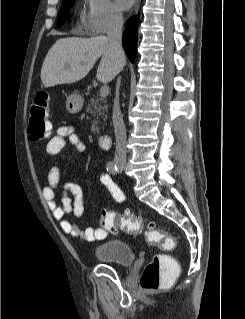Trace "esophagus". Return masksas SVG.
I'll return each instance as SVG.
<instances>
[{
  "label": "esophagus",
  "mask_w": 245,
  "mask_h": 319,
  "mask_svg": "<svg viewBox=\"0 0 245 319\" xmlns=\"http://www.w3.org/2000/svg\"><path fill=\"white\" fill-rule=\"evenodd\" d=\"M141 0H137L134 8V13L136 14L139 10Z\"/></svg>",
  "instance_id": "1"
}]
</instances>
